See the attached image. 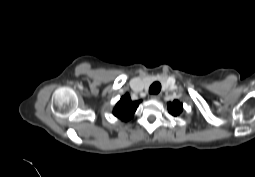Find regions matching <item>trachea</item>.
I'll return each mask as SVG.
<instances>
[{"label": "trachea", "mask_w": 255, "mask_h": 177, "mask_svg": "<svg viewBox=\"0 0 255 177\" xmlns=\"http://www.w3.org/2000/svg\"><path fill=\"white\" fill-rule=\"evenodd\" d=\"M160 90H161V84L159 82H154L149 88V93L158 94Z\"/></svg>", "instance_id": "3493384b"}]
</instances>
